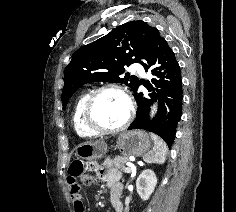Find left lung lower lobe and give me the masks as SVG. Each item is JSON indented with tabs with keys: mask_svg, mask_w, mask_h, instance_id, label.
Returning a JSON list of instances; mask_svg holds the SVG:
<instances>
[{
	"mask_svg": "<svg viewBox=\"0 0 236 212\" xmlns=\"http://www.w3.org/2000/svg\"><path fill=\"white\" fill-rule=\"evenodd\" d=\"M141 62L145 71L150 70L154 76L151 83L144 84L148 94L133 91L137 102L136 119L130 129H145L163 138L170 147L176 134V126L182 110V78L180 66L167 41L153 28L149 37L147 50ZM158 100V112L153 119L149 110L153 101Z\"/></svg>",
	"mask_w": 236,
	"mask_h": 212,
	"instance_id": "obj_1",
	"label": "left lung lower lobe"
}]
</instances>
